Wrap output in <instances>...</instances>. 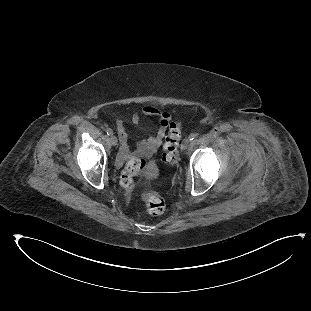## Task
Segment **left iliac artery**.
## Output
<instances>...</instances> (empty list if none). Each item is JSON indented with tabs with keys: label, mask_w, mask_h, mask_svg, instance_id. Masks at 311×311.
<instances>
[{
	"label": "left iliac artery",
	"mask_w": 311,
	"mask_h": 311,
	"mask_svg": "<svg viewBox=\"0 0 311 311\" xmlns=\"http://www.w3.org/2000/svg\"><path fill=\"white\" fill-rule=\"evenodd\" d=\"M195 137H196V134H195V133H191V134L189 135L190 141L194 140Z\"/></svg>",
	"instance_id": "1"
}]
</instances>
